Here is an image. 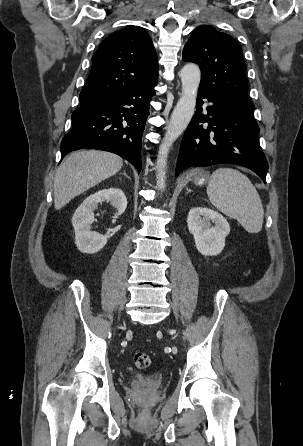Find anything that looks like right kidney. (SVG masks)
<instances>
[{"instance_id": "right-kidney-1", "label": "right kidney", "mask_w": 303, "mask_h": 446, "mask_svg": "<svg viewBox=\"0 0 303 446\" xmlns=\"http://www.w3.org/2000/svg\"><path fill=\"white\" fill-rule=\"evenodd\" d=\"M104 201L117 210L116 214L121 215L127 207V199L124 192L118 188H108L100 190L88 196L76 209L72 224L75 231V244L82 253L94 254L100 251L107 243V237L91 230L94 221L93 211L97 209L98 203Z\"/></svg>"}]
</instances>
